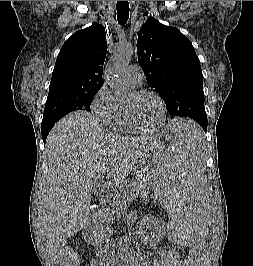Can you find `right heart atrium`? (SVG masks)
<instances>
[{"mask_svg":"<svg viewBox=\"0 0 253 266\" xmlns=\"http://www.w3.org/2000/svg\"><path fill=\"white\" fill-rule=\"evenodd\" d=\"M90 108L101 123L110 125L117 112L118 102L107 85L103 84L93 96Z\"/></svg>","mask_w":253,"mask_h":266,"instance_id":"obj_1","label":"right heart atrium"}]
</instances>
